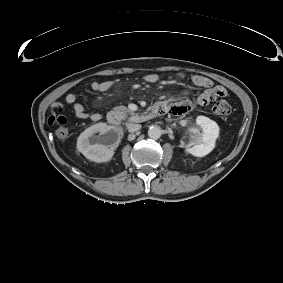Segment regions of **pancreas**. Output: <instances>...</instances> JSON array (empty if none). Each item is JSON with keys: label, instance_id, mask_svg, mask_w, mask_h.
<instances>
[{"label": "pancreas", "instance_id": "cf45deb5", "mask_svg": "<svg viewBox=\"0 0 283 283\" xmlns=\"http://www.w3.org/2000/svg\"><path fill=\"white\" fill-rule=\"evenodd\" d=\"M113 112L122 119L127 118L129 115L130 117L128 118V121L130 122H140L142 120L141 115H139L138 113H134L125 106L115 107L113 109Z\"/></svg>", "mask_w": 283, "mask_h": 283}]
</instances>
